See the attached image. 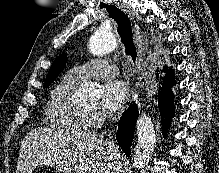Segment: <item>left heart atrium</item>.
<instances>
[{"instance_id": "1", "label": "left heart atrium", "mask_w": 219, "mask_h": 173, "mask_svg": "<svg viewBox=\"0 0 219 173\" xmlns=\"http://www.w3.org/2000/svg\"><path fill=\"white\" fill-rule=\"evenodd\" d=\"M128 96L129 89L124 81H109L104 85L102 107L108 112L117 111L126 103Z\"/></svg>"}]
</instances>
